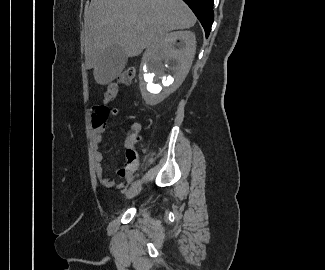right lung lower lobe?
I'll list each match as a JSON object with an SVG mask.
<instances>
[{"mask_svg": "<svg viewBox=\"0 0 325 270\" xmlns=\"http://www.w3.org/2000/svg\"><path fill=\"white\" fill-rule=\"evenodd\" d=\"M194 12L201 22L206 37L209 35L214 21L213 5L214 0H183Z\"/></svg>", "mask_w": 325, "mask_h": 270, "instance_id": "1", "label": "right lung lower lobe"}]
</instances>
